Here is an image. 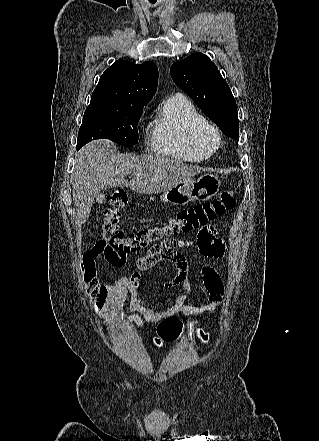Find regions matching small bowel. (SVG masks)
I'll return each instance as SVG.
<instances>
[{
    "instance_id": "1",
    "label": "small bowel",
    "mask_w": 319,
    "mask_h": 441,
    "mask_svg": "<svg viewBox=\"0 0 319 441\" xmlns=\"http://www.w3.org/2000/svg\"><path fill=\"white\" fill-rule=\"evenodd\" d=\"M196 242L200 254L205 257L221 258L226 252L225 244L217 238L216 229L212 226H207L203 235H198ZM191 244L190 241L174 240L166 242L164 247H155L138 258L137 271L129 276L115 278L108 283H99L95 273L92 284L88 286L89 299L100 319L103 320L109 314L110 324L115 327L117 320L123 314V306L127 300L133 312L127 317V322L138 327H142L144 321L155 324L176 314L201 315L216 311L223 300L225 288L216 268L209 263L201 268L202 280L208 295L207 303L193 305L187 302L192 291V284L187 275V261L176 248ZM102 252L103 248L99 244L86 251L82 256L83 266L94 265V260ZM162 261L172 263L177 270L176 275L164 283L165 287L174 288L175 299L170 307L155 311L143 305L141 283L144 279V272Z\"/></svg>"
}]
</instances>
